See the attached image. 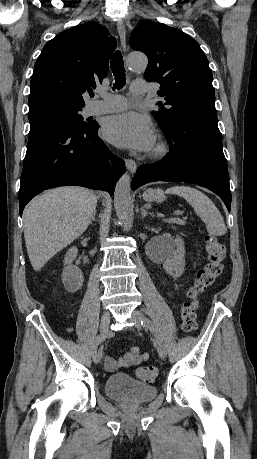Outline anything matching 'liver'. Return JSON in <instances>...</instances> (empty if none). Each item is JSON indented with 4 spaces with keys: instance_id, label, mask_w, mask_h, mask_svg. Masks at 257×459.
<instances>
[{
    "instance_id": "obj_1",
    "label": "liver",
    "mask_w": 257,
    "mask_h": 459,
    "mask_svg": "<svg viewBox=\"0 0 257 459\" xmlns=\"http://www.w3.org/2000/svg\"><path fill=\"white\" fill-rule=\"evenodd\" d=\"M97 198L82 187H61L36 197L23 213L27 253L35 271L81 236L90 224Z\"/></svg>"
}]
</instances>
